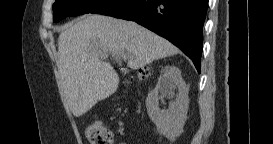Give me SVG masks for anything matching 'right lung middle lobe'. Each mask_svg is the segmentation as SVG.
Listing matches in <instances>:
<instances>
[{"label": "right lung middle lobe", "instance_id": "right-lung-middle-lobe-1", "mask_svg": "<svg viewBox=\"0 0 273 144\" xmlns=\"http://www.w3.org/2000/svg\"><path fill=\"white\" fill-rule=\"evenodd\" d=\"M109 0H56L53 4V21L58 22L67 16L91 13Z\"/></svg>", "mask_w": 273, "mask_h": 144}]
</instances>
